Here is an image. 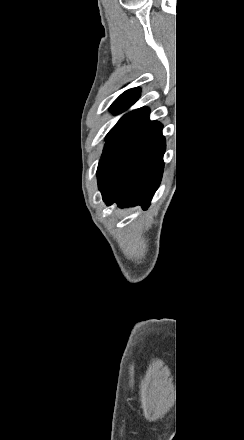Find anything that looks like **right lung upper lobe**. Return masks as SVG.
<instances>
[{"instance_id": "obj_1", "label": "right lung upper lobe", "mask_w": 244, "mask_h": 440, "mask_svg": "<svg viewBox=\"0 0 244 440\" xmlns=\"http://www.w3.org/2000/svg\"><path fill=\"white\" fill-rule=\"evenodd\" d=\"M140 96V88H132L121 94L118 99H137Z\"/></svg>"}]
</instances>
